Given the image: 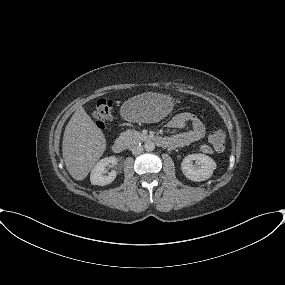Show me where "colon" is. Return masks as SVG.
Segmentation results:
<instances>
[{"instance_id": "5ec220e1", "label": "colon", "mask_w": 285, "mask_h": 285, "mask_svg": "<svg viewBox=\"0 0 285 285\" xmlns=\"http://www.w3.org/2000/svg\"><path fill=\"white\" fill-rule=\"evenodd\" d=\"M95 122L100 127H105L112 119V104L105 98L97 100L93 112ZM226 135L224 130L218 128L209 132L210 145H203L201 150L204 153H211L213 151L221 152L225 147Z\"/></svg>"}]
</instances>
